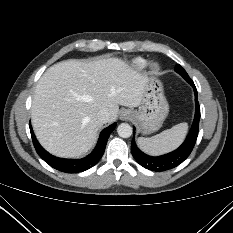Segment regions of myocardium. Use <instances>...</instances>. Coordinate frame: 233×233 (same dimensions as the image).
I'll use <instances>...</instances> for the list:
<instances>
[{
	"instance_id": "1",
	"label": "myocardium",
	"mask_w": 233,
	"mask_h": 233,
	"mask_svg": "<svg viewBox=\"0 0 233 233\" xmlns=\"http://www.w3.org/2000/svg\"><path fill=\"white\" fill-rule=\"evenodd\" d=\"M151 68H152L153 71L156 72V71L158 70L159 67H158V65L153 64V65L151 66Z\"/></svg>"
}]
</instances>
